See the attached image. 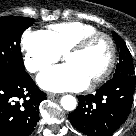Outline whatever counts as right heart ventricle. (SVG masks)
Instances as JSON below:
<instances>
[{
  "instance_id": "obj_1",
  "label": "right heart ventricle",
  "mask_w": 136,
  "mask_h": 136,
  "mask_svg": "<svg viewBox=\"0 0 136 136\" xmlns=\"http://www.w3.org/2000/svg\"><path fill=\"white\" fill-rule=\"evenodd\" d=\"M60 54L66 53L82 38L97 33L99 30L80 21L52 24L44 31Z\"/></svg>"
}]
</instances>
